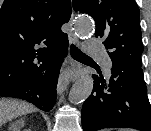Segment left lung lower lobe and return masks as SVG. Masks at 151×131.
I'll use <instances>...</instances> for the list:
<instances>
[{
    "instance_id": "obj_1",
    "label": "left lung lower lobe",
    "mask_w": 151,
    "mask_h": 131,
    "mask_svg": "<svg viewBox=\"0 0 151 131\" xmlns=\"http://www.w3.org/2000/svg\"><path fill=\"white\" fill-rule=\"evenodd\" d=\"M94 89L82 107L83 131L134 128L151 131V105L141 67H115L108 81L93 75Z\"/></svg>"
}]
</instances>
